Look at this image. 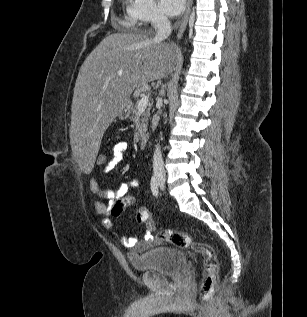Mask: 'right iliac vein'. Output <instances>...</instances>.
<instances>
[{
  "label": "right iliac vein",
  "instance_id": "1",
  "mask_svg": "<svg viewBox=\"0 0 307 317\" xmlns=\"http://www.w3.org/2000/svg\"><path fill=\"white\" fill-rule=\"evenodd\" d=\"M158 181L162 184V186H163V184H164V178L163 177H158Z\"/></svg>",
  "mask_w": 307,
  "mask_h": 317
}]
</instances>
